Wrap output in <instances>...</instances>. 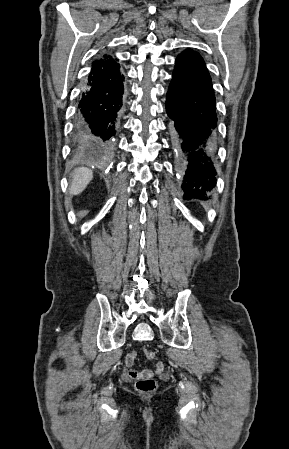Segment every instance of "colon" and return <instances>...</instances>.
<instances>
[{
	"instance_id": "1",
	"label": "colon",
	"mask_w": 289,
	"mask_h": 449,
	"mask_svg": "<svg viewBox=\"0 0 289 449\" xmlns=\"http://www.w3.org/2000/svg\"><path fill=\"white\" fill-rule=\"evenodd\" d=\"M147 359L152 360L155 358V352L151 350L144 351ZM136 389L141 393H152L157 388L156 381L151 376H142L137 378L135 383Z\"/></svg>"
}]
</instances>
